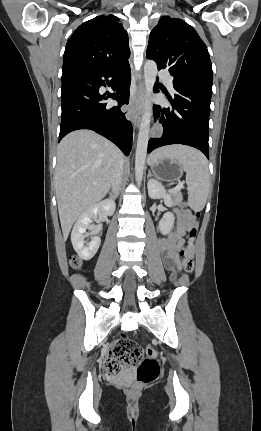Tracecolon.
<instances>
[{
    "instance_id": "colon-1",
    "label": "colon",
    "mask_w": 261,
    "mask_h": 431,
    "mask_svg": "<svg viewBox=\"0 0 261 431\" xmlns=\"http://www.w3.org/2000/svg\"><path fill=\"white\" fill-rule=\"evenodd\" d=\"M183 211H188L185 203L180 204ZM195 217L198 213L193 214ZM196 236V229L189 230V238L192 240ZM182 266L186 273L194 270V260L192 253V243L189 242L181 251ZM70 264L73 268L79 269L82 261L78 256H71ZM145 355V356H144ZM136 367V388L147 385L154 381L159 374V365L156 361V351L152 347H147L143 351L132 339L121 336L117 338L110 352V357L104 364V372L111 377L119 376L125 369Z\"/></svg>"
}]
</instances>
